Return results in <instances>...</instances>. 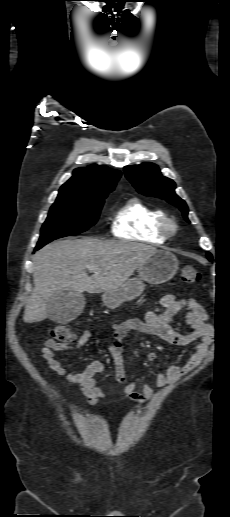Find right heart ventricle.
Segmentation results:
<instances>
[{
  "label": "right heart ventricle",
  "instance_id": "e07e8e85",
  "mask_svg": "<svg viewBox=\"0 0 230 517\" xmlns=\"http://www.w3.org/2000/svg\"><path fill=\"white\" fill-rule=\"evenodd\" d=\"M164 217L161 209L133 197L117 209L111 230L117 238L160 244L167 239L161 229Z\"/></svg>",
  "mask_w": 230,
  "mask_h": 517
}]
</instances>
